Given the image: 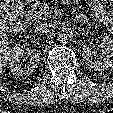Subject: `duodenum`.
I'll use <instances>...</instances> for the list:
<instances>
[{
    "label": "duodenum",
    "instance_id": "410a0bca",
    "mask_svg": "<svg viewBox=\"0 0 113 113\" xmlns=\"http://www.w3.org/2000/svg\"><path fill=\"white\" fill-rule=\"evenodd\" d=\"M79 21H80V22H84L85 19H84L83 17L80 16V17H79Z\"/></svg>",
    "mask_w": 113,
    "mask_h": 113
}]
</instances>
